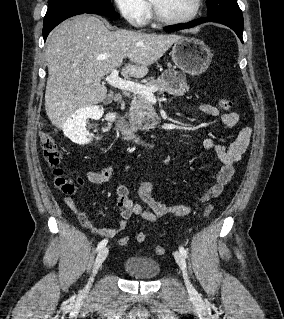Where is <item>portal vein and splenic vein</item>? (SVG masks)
I'll list each match as a JSON object with an SVG mask.
<instances>
[{
  "label": "portal vein and splenic vein",
  "mask_w": 284,
  "mask_h": 319,
  "mask_svg": "<svg viewBox=\"0 0 284 319\" xmlns=\"http://www.w3.org/2000/svg\"><path fill=\"white\" fill-rule=\"evenodd\" d=\"M105 81L113 87L142 95L147 100L156 102V97L153 93L155 91H158V87H148L146 85H142L133 81L124 80L119 77V71L117 69H114L111 74L105 78Z\"/></svg>",
  "instance_id": "1"
}]
</instances>
